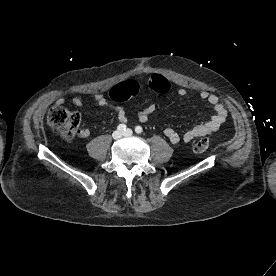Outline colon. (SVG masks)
I'll use <instances>...</instances> for the list:
<instances>
[{"label":"colon","mask_w":276,"mask_h":276,"mask_svg":"<svg viewBox=\"0 0 276 276\" xmlns=\"http://www.w3.org/2000/svg\"><path fill=\"white\" fill-rule=\"evenodd\" d=\"M162 82L166 83L169 89L168 82L166 80H162ZM111 95L115 98H128L126 91L118 86L112 89ZM47 121L49 126L52 129L58 131L65 141H71L77 135L80 124V115L76 112L68 110L62 105H55L49 110ZM209 147V140L204 138L195 142L193 145V150L196 153H203L207 151Z\"/></svg>","instance_id":"1"}]
</instances>
